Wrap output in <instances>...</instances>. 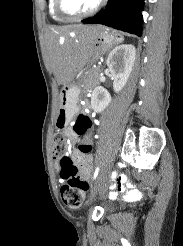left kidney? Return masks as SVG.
Returning <instances> with one entry per match:
<instances>
[{"label": "left kidney", "instance_id": "1", "mask_svg": "<svg viewBox=\"0 0 183 246\" xmlns=\"http://www.w3.org/2000/svg\"><path fill=\"white\" fill-rule=\"evenodd\" d=\"M135 56L136 49L131 44L119 45L109 53L106 63L113 77L115 92L121 91L128 81ZM111 100L109 92L104 87L97 86L92 92L91 107L95 112L100 113L110 104Z\"/></svg>", "mask_w": 183, "mask_h": 246}]
</instances>
